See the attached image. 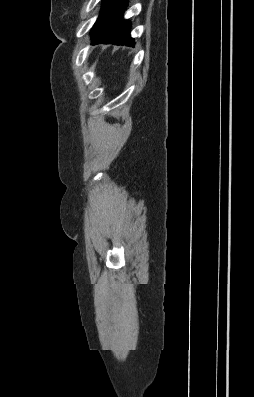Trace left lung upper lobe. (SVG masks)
I'll return each mask as SVG.
<instances>
[{
    "mask_svg": "<svg viewBox=\"0 0 254 397\" xmlns=\"http://www.w3.org/2000/svg\"><path fill=\"white\" fill-rule=\"evenodd\" d=\"M108 2H109V0H104V4H103L102 9H101V11H100V15H99V17H98L96 23L94 24V26H93V28H92V30H91V34H92L93 31L97 28V26L99 25L100 21L102 20V17H103V15H104V12H105V9H106V7H107Z\"/></svg>",
    "mask_w": 254,
    "mask_h": 397,
    "instance_id": "5c2ea615",
    "label": "left lung upper lobe"
}]
</instances>
